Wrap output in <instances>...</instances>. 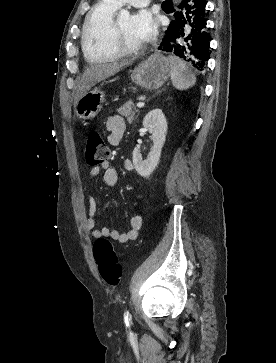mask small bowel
Instances as JSON below:
<instances>
[{"mask_svg":"<svg viewBox=\"0 0 276 363\" xmlns=\"http://www.w3.org/2000/svg\"><path fill=\"white\" fill-rule=\"evenodd\" d=\"M106 128L109 132L108 134V142L112 146H116L119 144L125 130H126V122L124 118L118 115L110 116L106 120ZM124 168L127 171H132L134 166L130 160L124 161ZM103 173V182L108 186H116L119 180L118 172L116 169L111 167L108 162L103 163L102 165L95 166L90 170V177L95 178L100 173ZM88 215L86 218V230L88 234L93 238L107 237L113 239L121 244L127 243L129 241H134L137 239L139 235V231L143 224V217L141 212V206L138 205L134 214L129 220V227L125 232H119L116 229L103 227L96 228L95 224V215H96V201L94 197H88Z\"/></svg>","mask_w":276,"mask_h":363,"instance_id":"small-bowel-1","label":"small bowel"}]
</instances>
